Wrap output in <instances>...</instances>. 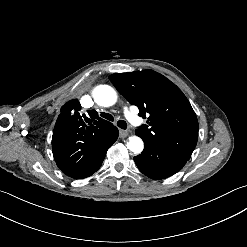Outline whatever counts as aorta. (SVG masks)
<instances>
[{
	"instance_id": "1",
	"label": "aorta",
	"mask_w": 247,
	"mask_h": 247,
	"mask_svg": "<svg viewBox=\"0 0 247 247\" xmlns=\"http://www.w3.org/2000/svg\"><path fill=\"white\" fill-rule=\"evenodd\" d=\"M94 101L103 107H109L116 103V91L109 85H99L93 91ZM127 148L134 154H140L143 151L144 143L138 136H131L127 142Z\"/></svg>"
}]
</instances>
